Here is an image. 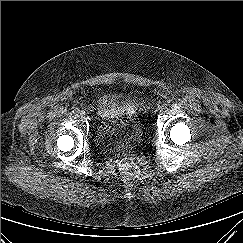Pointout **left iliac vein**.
Instances as JSON below:
<instances>
[{
	"label": "left iliac vein",
	"mask_w": 243,
	"mask_h": 243,
	"mask_svg": "<svg viewBox=\"0 0 243 243\" xmlns=\"http://www.w3.org/2000/svg\"><path fill=\"white\" fill-rule=\"evenodd\" d=\"M164 108H165L164 105H161V106H158V107H157V110H158L159 112H161V111H163Z\"/></svg>",
	"instance_id": "4c4485c4"
}]
</instances>
